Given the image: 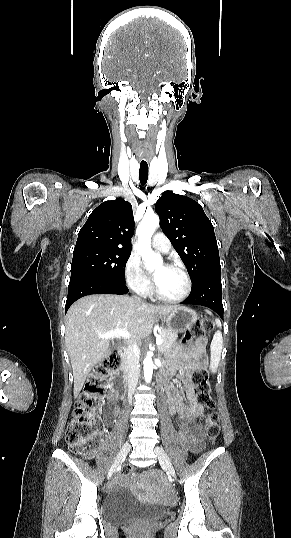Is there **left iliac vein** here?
I'll return each instance as SVG.
<instances>
[{
	"instance_id": "left-iliac-vein-1",
	"label": "left iliac vein",
	"mask_w": 291,
	"mask_h": 538,
	"mask_svg": "<svg viewBox=\"0 0 291 538\" xmlns=\"http://www.w3.org/2000/svg\"><path fill=\"white\" fill-rule=\"evenodd\" d=\"M155 453L157 454L158 458L165 464L169 474L173 477H175V470L171 463L170 458L166 454L165 450L161 446L155 447Z\"/></svg>"
}]
</instances>
